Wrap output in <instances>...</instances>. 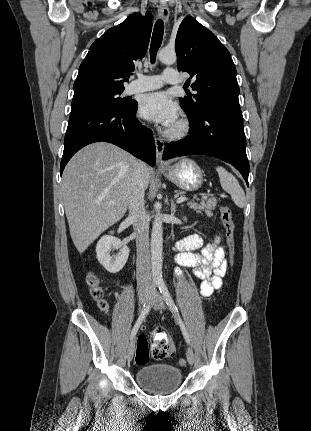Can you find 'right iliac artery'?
Here are the masks:
<instances>
[{
    "instance_id": "82829eb1",
    "label": "right iliac artery",
    "mask_w": 311,
    "mask_h": 431,
    "mask_svg": "<svg viewBox=\"0 0 311 431\" xmlns=\"http://www.w3.org/2000/svg\"><path fill=\"white\" fill-rule=\"evenodd\" d=\"M155 285L153 286V289H152V292H154L155 291ZM150 309H151V302L150 301H148L147 303H145L144 305H143V308H142V310H141V313H140V315H139V318L137 319V321H136V323H135V325H134V327H133V329H132V332H131V335H130V339L131 340H133V338L135 337V335L137 334V331H138V329H139V327H140V325L142 324V322L144 321V319L146 318V316L148 315V313L150 312Z\"/></svg>"
}]
</instances>
